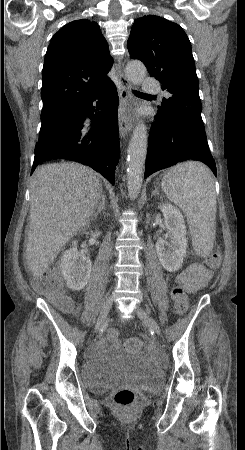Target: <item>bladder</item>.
<instances>
[{"instance_id":"obj_1","label":"bladder","mask_w":245,"mask_h":450,"mask_svg":"<svg viewBox=\"0 0 245 450\" xmlns=\"http://www.w3.org/2000/svg\"><path fill=\"white\" fill-rule=\"evenodd\" d=\"M160 378L155 368L142 362L136 355L99 357L81 365L84 386L97 395L126 385L153 388Z\"/></svg>"}]
</instances>
